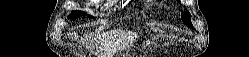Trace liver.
<instances>
[{
    "mask_svg": "<svg viewBox=\"0 0 249 57\" xmlns=\"http://www.w3.org/2000/svg\"><path fill=\"white\" fill-rule=\"evenodd\" d=\"M117 34V35H116ZM99 36H96V34L94 33H91L89 35V38L91 41H94V42H99L98 39H101V41H104L106 40L108 42V40H115L117 37L116 36H121L123 35V32H118L117 30H114L112 32H107V33H101V34H98ZM124 38H125V35H124ZM122 39V38H121ZM109 43V42H108ZM110 46V45H109ZM108 48V47H107ZM109 55V54H108Z\"/></svg>",
    "mask_w": 249,
    "mask_h": 57,
    "instance_id": "6515ba94",
    "label": "liver"
}]
</instances>
